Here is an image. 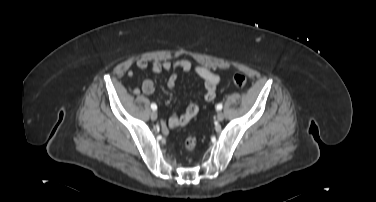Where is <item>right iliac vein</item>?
<instances>
[{"mask_svg":"<svg viewBox=\"0 0 376 202\" xmlns=\"http://www.w3.org/2000/svg\"><path fill=\"white\" fill-rule=\"evenodd\" d=\"M150 117H151V119L153 121H155L157 119V117H158L157 112L156 111H152L151 114H150Z\"/></svg>","mask_w":376,"mask_h":202,"instance_id":"obj_1","label":"right iliac vein"}]
</instances>
